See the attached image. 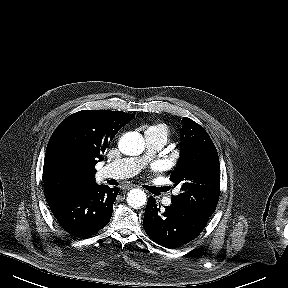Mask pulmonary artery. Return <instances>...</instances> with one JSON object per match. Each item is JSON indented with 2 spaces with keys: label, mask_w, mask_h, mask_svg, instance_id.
Returning <instances> with one entry per match:
<instances>
[{
  "label": "pulmonary artery",
  "mask_w": 288,
  "mask_h": 288,
  "mask_svg": "<svg viewBox=\"0 0 288 288\" xmlns=\"http://www.w3.org/2000/svg\"><path fill=\"white\" fill-rule=\"evenodd\" d=\"M145 140L147 146L146 155L142 157L125 158L109 163L101 169L100 175L102 177L124 179L139 173L147 161L167 142L164 134L156 129H148L145 132ZM163 203L166 206H170L172 200L170 197H167L163 200Z\"/></svg>",
  "instance_id": "obj_1"
}]
</instances>
